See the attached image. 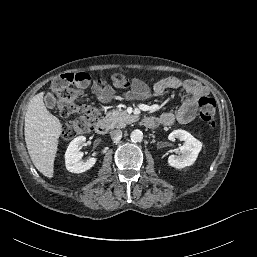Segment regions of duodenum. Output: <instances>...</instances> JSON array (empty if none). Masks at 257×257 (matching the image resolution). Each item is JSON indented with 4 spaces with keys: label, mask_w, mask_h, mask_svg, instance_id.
<instances>
[{
    "label": "duodenum",
    "mask_w": 257,
    "mask_h": 257,
    "mask_svg": "<svg viewBox=\"0 0 257 257\" xmlns=\"http://www.w3.org/2000/svg\"><path fill=\"white\" fill-rule=\"evenodd\" d=\"M143 124L148 128H155L159 125L156 117H147L143 120ZM109 130V123L105 119H101L95 127V131L99 135H104Z\"/></svg>",
    "instance_id": "1"
}]
</instances>
